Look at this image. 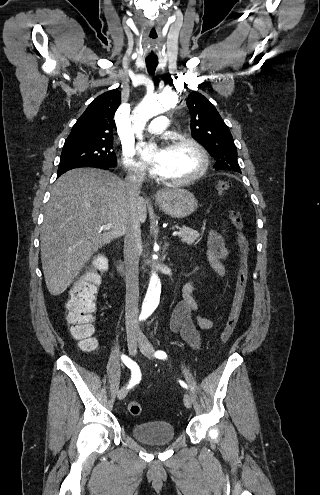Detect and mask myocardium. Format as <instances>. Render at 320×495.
<instances>
[{
	"instance_id": "f54148a6",
	"label": "myocardium",
	"mask_w": 320,
	"mask_h": 495,
	"mask_svg": "<svg viewBox=\"0 0 320 495\" xmlns=\"http://www.w3.org/2000/svg\"><path fill=\"white\" fill-rule=\"evenodd\" d=\"M179 145H186L192 148L198 155L199 157V167L198 169L191 175L187 176L186 178L179 179V180H172L165 178L164 180L174 186H186L189 184H192L199 180L207 171L209 167V157L207 154V151L205 148L196 140L190 138V137H175L172 138L169 141L168 148L176 147Z\"/></svg>"
}]
</instances>
